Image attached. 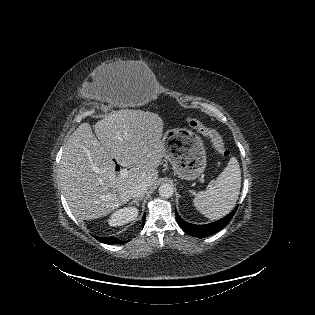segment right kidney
Masks as SVG:
<instances>
[{"instance_id":"obj_1","label":"right kidney","mask_w":315,"mask_h":315,"mask_svg":"<svg viewBox=\"0 0 315 315\" xmlns=\"http://www.w3.org/2000/svg\"><path fill=\"white\" fill-rule=\"evenodd\" d=\"M137 216H138L137 208L124 207L115 211L108 219V223L110 226H122L135 220Z\"/></svg>"}]
</instances>
